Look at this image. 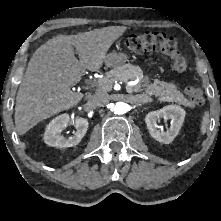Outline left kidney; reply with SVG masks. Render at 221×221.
<instances>
[{"label":"left kidney","instance_id":"obj_1","mask_svg":"<svg viewBox=\"0 0 221 221\" xmlns=\"http://www.w3.org/2000/svg\"><path fill=\"white\" fill-rule=\"evenodd\" d=\"M171 119V126L166 131L158 129L157 122L160 119ZM185 118V111L180 106L168 105L160 110L152 111L146 115L145 122L153 138L157 141L169 144L178 135Z\"/></svg>","mask_w":221,"mask_h":221}]
</instances>
